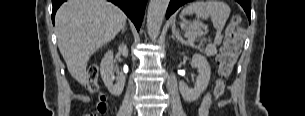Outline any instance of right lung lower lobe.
I'll list each match as a JSON object with an SVG mask.
<instances>
[{
    "mask_svg": "<svg viewBox=\"0 0 305 116\" xmlns=\"http://www.w3.org/2000/svg\"><path fill=\"white\" fill-rule=\"evenodd\" d=\"M65 0H52L53 4V11H52V22H54V17L57 9ZM110 2L114 3L115 5L119 6L126 15L132 20L135 24L137 30L140 29L145 7L147 0H109Z\"/></svg>",
    "mask_w": 305,
    "mask_h": 116,
    "instance_id": "right-lung-lower-lobe-1",
    "label": "right lung lower lobe"
}]
</instances>
